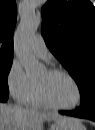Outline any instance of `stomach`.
I'll list each match as a JSON object with an SVG mask.
<instances>
[{
  "label": "stomach",
  "mask_w": 95,
  "mask_h": 130,
  "mask_svg": "<svg viewBox=\"0 0 95 130\" xmlns=\"http://www.w3.org/2000/svg\"><path fill=\"white\" fill-rule=\"evenodd\" d=\"M50 130H86V128L78 119L65 117L51 124Z\"/></svg>",
  "instance_id": "stomach-1"
}]
</instances>
